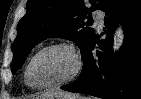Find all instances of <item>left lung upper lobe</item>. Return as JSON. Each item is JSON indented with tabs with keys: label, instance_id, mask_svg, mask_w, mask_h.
<instances>
[{
	"label": "left lung upper lobe",
	"instance_id": "obj_1",
	"mask_svg": "<svg viewBox=\"0 0 141 99\" xmlns=\"http://www.w3.org/2000/svg\"><path fill=\"white\" fill-rule=\"evenodd\" d=\"M88 9L84 0H28L26 15L17 26V37L13 43L12 74L23 65L30 50L48 37L74 40L84 51L94 38V30L85 27L84 20L92 10H106L115 0H89Z\"/></svg>",
	"mask_w": 141,
	"mask_h": 99
}]
</instances>
